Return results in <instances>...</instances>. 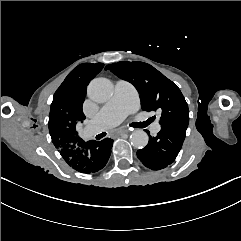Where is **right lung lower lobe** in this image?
<instances>
[{"label":"right lung lower lobe","mask_w":241,"mask_h":241,"mask_svg":"<svg viewBox=\"0 0 241 241\" xmlns=\"http://www.w3.org/2000/svg\"><path fill=\"white\" fill-rule=\"evenodd\" d=\"M112 145L113 140L110 138L88 142L79 139L58 149L69 166L76 171L89 174L101 170L106 165Z\"/></svg>","instance_id":"98d812e1"}]
</instances>
